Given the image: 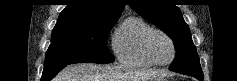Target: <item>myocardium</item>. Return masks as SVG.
Returning <instances> with one entry per match:
<instances>
[{
    "label": "myocardium",
    "mask_w": 237,
    "mask_h": 81,
    "mask_svg": "<svg viewBox=\"0 0 237 81\" xmlns=\"http://www.w3.org/2000/svg\"><path fill=\"white\" fill-rule=\"evenodd\" d=\"M155 35H162L163 37H165L171 44L172 47V55L171 58L164 63H161L159 61H157L154 57L153 51H152V39ZM144 47H145V52L148 56V58L153 62V64L157 65V66H168L169 64H171L175 58L176 55V47H175V43L173 41V39L164 31L159 30V29H152L145 37V42H144Z\"/></svg>",
    "instance_id": "f54148a6"
}]
</instances>
